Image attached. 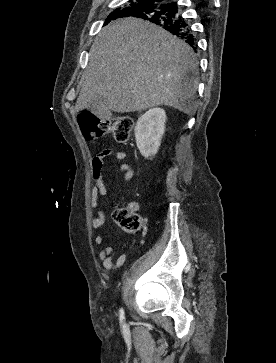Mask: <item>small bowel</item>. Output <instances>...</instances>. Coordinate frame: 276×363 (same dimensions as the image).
Masks as SVG:
<instances>
[{"label":"small bowel","instance_id":"c3829d8e","mask_svg":"<svg viewBox=\"0 0 276 363\" xmlns=\"http://www.w3.org/2000/svg\"><path fill=\"white\" fill-rule=\"evenodd\" d=\"M108 158H114L119 161H124L128 158V154L125 151L115 150L113 148H105L98 152L91 161V169H92V176L94 180V186L92 189V206L94 208L98 207V198L104 197L107 195V189L104 184L103 180V168L104 162ZM118 170L120 171L121 175L120 178L122 180H130L133 175L134 171L133 168L127 163H120L118 165ZM130 209L136 211L138 210L137 203H131ZM105 221V213L103 210H98L96 217L92 220V226L94 228H99ZM95 243L97 245H102L104 243V237L98 235L95 237ZM115 250L112 246H107L102 249L98 253L99 260L103 263V266L106 270H113L118 269L123 266L126 260L125 254L121 253L116 258Z\"/></svg>","mask_w":276,"mask_h":363}]
</instances>
